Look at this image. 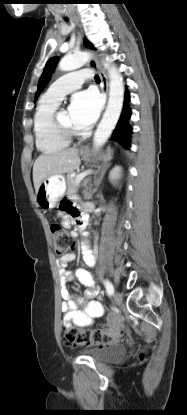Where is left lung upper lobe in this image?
<instances>
[{
	"mask_svg": "<svg viewBox=\"0 0 187 415\" xmlns=\"http://www.w3.org/2000/svg\"><path fill=\"white\" fill-rule=\"evenodd\" d=\"M85 45L88 48L93 49V46L91 45V43L88 40H85ZM58 61L57 57H53L51 59L48 60V62L46 63L43 73L40 77L39 83H38V89L37 92L35 94V98H37L39 96V94L42 92L43 88L45 87V85L48 83L51 73L53 72L56 63Z\"/></svg>",
	"mask_w": 187,
	"mask_h": 415,
	"instance_id": "left-lung-upper-lobe-1",
	"label": "left lung upper lobe"
}]
</instances>
